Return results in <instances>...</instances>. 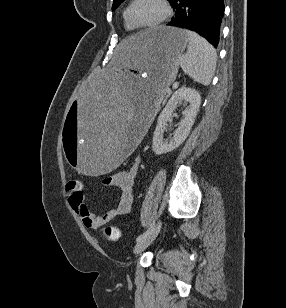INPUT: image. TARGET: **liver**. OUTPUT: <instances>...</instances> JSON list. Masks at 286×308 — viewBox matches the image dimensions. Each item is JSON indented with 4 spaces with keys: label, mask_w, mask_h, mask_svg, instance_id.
Instances as JSON below:
<instances>
[{
    "label": "liver",
    "mask_w": 286,
    "mask_h": 308,
    "mask_svg": "<svg viewBox=\"0 0 286 308\" xmlns=\"http://www.w3.org/2000/svg\"><path fill=\"white\" fill-rule=\"evenodd\" d=\"M147 31V30H146ZM146 31L135 34L131 37L124 39L117 47L113 62L121 61L130 58L134 51L137 49L140 41L145 37Z\"/></svg>",
    "instance_id": "obj_1"
}]
</instances>
